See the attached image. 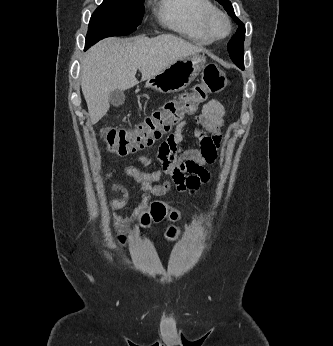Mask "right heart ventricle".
<instances>
[{"label":"right heart ventricle","mask_w":333,"mask_h":346,"mask_svg":"<svg viewBox=\"0 0 333 346\" xmlns=\"http://www.w3.org/2000/svg\"><path fill=\"white\" fill-rule=\"evenodd\" d=\"M213 8L210 0H161L157 15L169 29L196 43L208 44L213 38L206 27V16Z\"/></svg>","instance_id":"1"}]
</instances>
